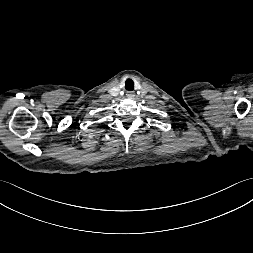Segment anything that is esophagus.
Listing matches in <instances>:
<instances>
[{
	"label": "esophagus",
	"instance_id": "esophagus-1",
	"mask_svg": "<svg viewBox=\"0 0 253 253\" xmlns=\"http://www.w3.org/2000/svg\"><path fill=\"white\" fill-rule=\"evenodd\" d=\"M126 95H127L128 98H133L134 97V93L132 91H128Z\"/></svg>",
	"mask_w": 253,
	"mask_h": 253
}]
</instances>
